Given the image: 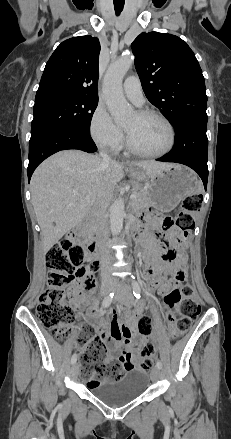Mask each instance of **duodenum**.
<instances>
[{"label": "duodenum", "instance_id": "410a0bca", "mask_svg": "<svg viewBox=\"0 0 231 439\" xmlns=\"http://www.w3.org/2000/svg\"><path fill=\"white\" fill-rule=\"evenodd\" d=\"M138 239L141 242L146 244L145 239L141 235H138ZM87 248H88L89 252L94 255L95 258L99 257V250H98L97 239L96 238H92L91 239V241L88 243ZM146 270H149V265L148 264H146Z\"/></svg>", "mask_w": 231, "mask_h": 439}]
</instances>
